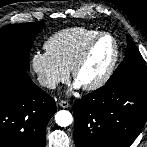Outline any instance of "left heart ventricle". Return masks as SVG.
Segmentation results:
<instances>
[{"instance_id": "obj_1", "label": "left heart ventricle", "mask_w": 147, "mask_h": 147, "mask_svg": "<svg viewBox=\"0 0 147 147\" xmlns=\"http://www.w3.org/2000/svg\"><path fill=\"white\" fill-rule=\"evenodd\" d=\"M113 53L114 45L112 40L108 37L100 39L80 69L77 82L80 85H87L102 76L111 62Z\"/></svg>"}]
</instances>
